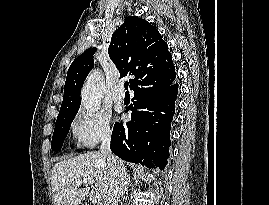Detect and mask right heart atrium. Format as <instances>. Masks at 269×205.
<instances>
[{
  "label": "right heart atrium",
  "mask_w": 269,
  "mask_h": 205,
  "mask_svg": "<svg viewBox=\"0 0 269 205\" xmlns=\"http://www.w3.org/2000/svg\"><path fill=\"white\" fill-rule=\"evenodd\" d=\"M72 136L79 146L93 148L112 135L111 117L100 111L80 110L71 122Z\"/></svg>",
  "instance_id": "d8ad5b80"
}]
</instances>
